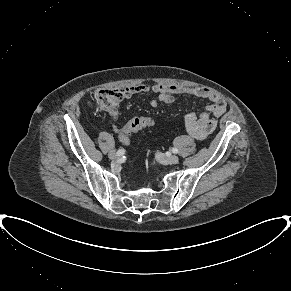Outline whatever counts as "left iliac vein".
<instances>
[{"instance_id": "1", "label": "left iliac vein", "mask_w": 291, "mask_h": 291, "mask_svg": "<svg viewBox=\"0 0 291 291\" xmlns=\"http://www.w3.org/2000/svg\"><path fill=\"white\" fill-rule=\"evenodd\" d=\"M156 159L164 164H177L179 162V158L176 155L166 156L161 152L156 153Z\"/></svg>"}]
</instances>
